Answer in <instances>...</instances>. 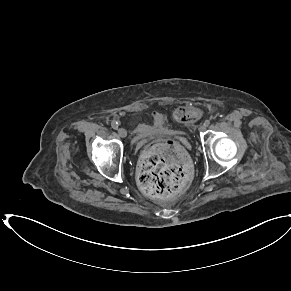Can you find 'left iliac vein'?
<instances>
[{
	"mask_svg": "<svg viewBox=\"0 0 291 291\" xmlns=\"http://www.w3.org/2000/svg\"><path fill=\"white\" fill-rule=\"evenodd\" d=\"M207 126L203 123L199 126V131H205Z\"/></svg>",
	"mask_w": 291,
	"mask_h": 291,
	"instance_id": "1",
	"label": "left iliac vein"
}]
</instances>
